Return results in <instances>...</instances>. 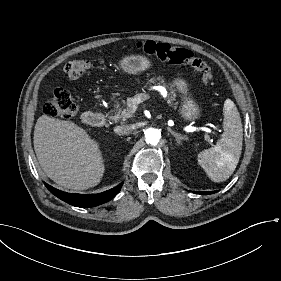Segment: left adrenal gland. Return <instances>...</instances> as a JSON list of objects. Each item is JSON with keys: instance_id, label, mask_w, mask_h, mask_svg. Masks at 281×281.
<instances>
[{"instance_id": "obj_1", "label": "left adrenal gland", "mask_w": 281, "mask_h": 281, "mask_svg": "<svg viewBox=\"0 0 281 281\" xmlns=\"http://www.w3.org/2000/svg\"><path fill=\"white\" fill-rule=\"evenodd\" d=\"M168 131L171 135H173V137L177 140L178 143L183 144L185 141H188L187 138L180 137L175 132H173L171 128H168Z\"/></svg>"}]
</instances>
